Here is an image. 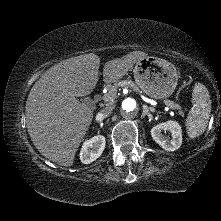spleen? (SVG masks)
<instances>
[{
  "mask_svg": "<svg viewBox=\"0 0 221 221\" xmlns=\"http://www.w3.org/2000/svg\"><path fill=\"white\" fill-rule=\"evenodd\" d=\"M193 107L188 113L186 121L187 134L195 139L204 133L211 112V100L207 88L201 83H195L192 92Z\"/></svg>",
  "mask_w": 221,
  "mask_h": 221,
  "instance_id": "spleen-1",
  "label": "spleen"
}]
</instances>
